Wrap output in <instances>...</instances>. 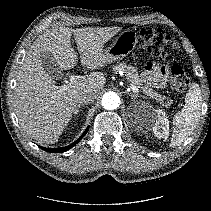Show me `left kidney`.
<instances>
[{
    "instance_id": "left-kidney-1",
    "label": "left kidney",
    "mask_w": 211,
    "mask_h": 211,
    "mask_svg": "<svg viewBox=\"0 0 211 211\" xmlns=\"http://www.w3.org/2000/svg\"><path fill=\"white\" fill-rule=\"evenodd\" d=\"M148 122L152 127L155 137L159 139H167L169 135V121L164 111L156 109L152 113V119L144 117L141 119V123Z\"/></svg>"
}]
</instances>
